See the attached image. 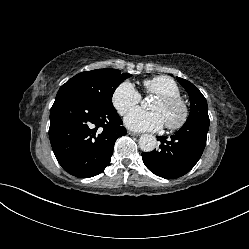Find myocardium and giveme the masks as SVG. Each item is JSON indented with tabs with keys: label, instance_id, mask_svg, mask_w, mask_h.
Returning a JSON list of instances; mask_svg holds the SVG:
<instances>
[{
	"label": "myocardium",
	"instance_id": "f54148a6",
	"mask_svg": "<svg viewBox=\"0 0 249 249\" xmlns=\"http://www.w3.org/2000/svg\"><path fill=\"white\" fill-rule=\"evenodd\" d=\"M157 99L166 106H175L180 109V117L176 121H167L165 125L170 130L181 129L188 121L190 109L187 102L180 96L160 95Z\"/></svg>",
	"mask_w": 249,
	"mask_h": 249
}]
</instances>
